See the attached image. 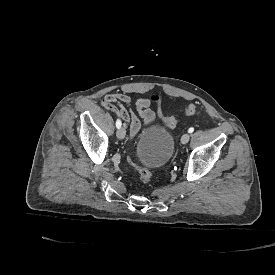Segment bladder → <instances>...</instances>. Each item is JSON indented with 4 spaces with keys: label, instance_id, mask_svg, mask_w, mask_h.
<instances>
[{
    "label": "bladder",
    "instance_id": "bladder-1",
    "mask_svg": "<svg viewBox=\"0 0 275 275\" xmlns=\"http://www.w3.org/2000/svg\"><path fill=\"white\" fill-rule=\"evenodd\" d=\"M174 140L165 127L147 130L135 143L133 151L139 163L150 170L166 166L172 156Z\"/></svg>",
    "mask_w": 275,
    "mask_h": 275
}]
</instances>
